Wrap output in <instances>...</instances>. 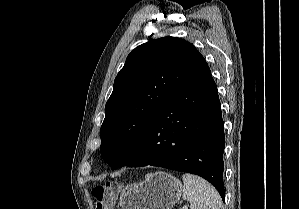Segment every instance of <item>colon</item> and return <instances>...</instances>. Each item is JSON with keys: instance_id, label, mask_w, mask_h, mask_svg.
<instances>
[{"instance_id": "colon-1", "label": "colon", "mask_w": 299, "mask_h": 209, "mask_svg": "<svg viewBox=\"0 0 299 209\" xmlns=\"http://www.w3.org/2000/svg\"><path fill=\"white\" fill-rule=\"evenodd\" d=\"M121 185L115 182L100 183L92 189L97 209H112L118 199Z\"/></svg>"}]
</instances>
